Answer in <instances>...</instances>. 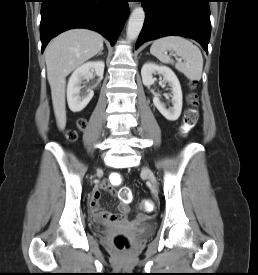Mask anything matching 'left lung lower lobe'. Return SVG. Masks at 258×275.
I'll list each match as a JSON object with an SVG mask.
<instances>
[{
	"mask_svg": "<svg viewBox=\"0 0 258 275\" xmlns=\"http://www.w3.org/2000/svg\"><path fill=\"white\" fill-rule=\"evenodd\" d=\"M209 0H143L144 26L136 49L144 42L169 35H180L199 42L208 52L211 23Z\"/></svg>",
	"mask_w": 258,
	"mask_h": 275,
	"instance_id": "left-lung-lower-lobe-1",
	"label": "left lung lower lobe"
}]
</instances>
